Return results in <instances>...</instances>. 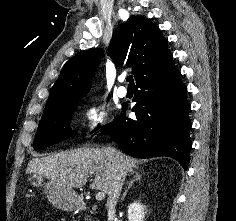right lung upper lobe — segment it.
<instances>
[{"label": "right lung upper lobe", "instance_id": "1", "mask_svg": "<svg viewBox=\"0 0 236 221\" xmlns=\"http://www.w3.org/2000/svg\"><path fill=\"white\" fill-rule=\"evenodd\" d=\"M160 29L143 17L131 16L113 34L108 54L116 65L126 62L136 82L165 64L172 55ZM102 51L91 49L77 54L63 66L46 103V111L86 95Z\"/></svg>", "mask_w": 236, "mask_h": 221}]
</instances>
